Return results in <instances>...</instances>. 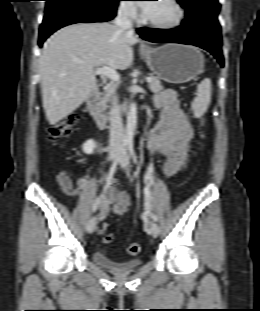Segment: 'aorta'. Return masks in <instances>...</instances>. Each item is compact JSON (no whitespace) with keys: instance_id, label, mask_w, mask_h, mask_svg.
I'll list each match as a JSON object with an SVG mask.
<instances>
[{"instance_id":"1","label":"aorta","mask_w":260,"mask_h":311,"mask_svg":"<svg viewBox=\"0 0 260 311\" xmlns=\"http://www.w3.org/2000/svg\"><path fill=\"white\" fill-rule=\"evenodd\" d=\"M137 126V108L135 103H132L127 114V124L124 132L125 142H132L134 132Z\"/></svg>"}]
</instances>
